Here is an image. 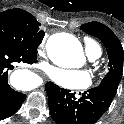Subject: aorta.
<instances>
[{
  "label": "aorta",
  "instance_id": "762f6f07",
  "mask_svg": "<svg viewBox=\"0 0 124 124\" xmlns=\"http://www.w3.org/2000/svg\"><path fill=\"white\" fill-rule=\"evenodd\" d=\"M49 58L61 67H74L83 59L79 40L68 33H56L46 43Z\"/></svg>",
  "mask_w": 124,
  "mask_h": 124
}]
</instances>
